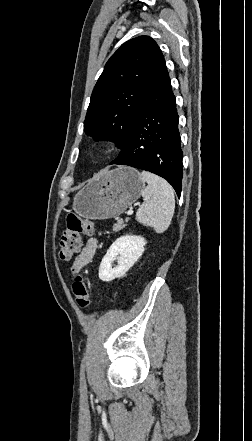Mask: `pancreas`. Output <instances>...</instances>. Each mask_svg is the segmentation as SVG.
Listing matches in <instances>:
<instances>
[{
    "instance_id": "1",
    "label": "pancreas",
    "mask_w": 252,
    "mask_h": 441,
    "mask_svg": "<svg viewBox=\"0 0 252 441\" xmlns=\"http://www.w3.org/2000/svg\"><path fill=\"white\" fill-rule=\"evenodd\" d=\"M125 226H126V224L124 223V221L123 220H119V221H117L116 224H114L113 231L114 232H119L120 230L125 228Z\"/></svg>"
}]
</instances>
